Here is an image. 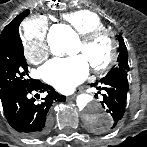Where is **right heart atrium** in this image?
<instances>
[{"instance_id":"obj_1","label":"right heart atrium","mask_w":147,"mask_h":147,"mask_svg":"<svg viewBox=\"0 0 147 147\" xmlns=\"http://www.w3.org/2000/svg\"><path fill=\"white\" fill-rule=\"evenodd\" d=\"M48 22L44 17H33L23 24L24 54L33 63H40L48 55L46 36Z\"/></svg>"}]
</instances>
